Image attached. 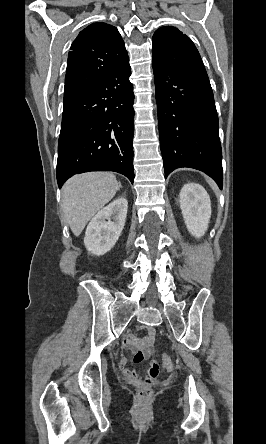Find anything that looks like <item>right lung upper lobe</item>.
<instances>
[{
	"label": "right lung upper lobe",
	"mask_w": 266,
	"mask_h": 444,
	"mask_svg": "<svg viewBox=\"0 0 266 444\" xmlns=\"http://www.w3.org/2000/svg\"><path fill=\"white\" fill-rule=\"evenodd\" d=\"M70 49L64 104L90 90L128 59L117 28L103 22L93 23L83 29Z\"/></svg>",
	"instance_id": "cb5924a9"
}]
</instances>
